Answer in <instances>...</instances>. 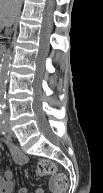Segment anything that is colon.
<instances>
[{"instance_id":"5ec220e1","label":"colon","mask_w":103,"mask_h":193,"mask_svg":"<svg viewBox=\"0 0 103 193\" xmlns=\"http://www.w3.org/2000/svg\"><path fill=\"white\" fill-rule=\"evenodd\" d=\"M38 173L42 176H54V184L60 190L64 191L68 187V178L65 174L57 170L56 165L49 159H41L38 162ZM62 193V192H61Z\"/></svg>"}]
</instances>
